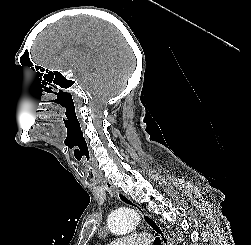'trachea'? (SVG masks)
<instances>
[{"mask_svg": "<svg viewBox=\"0 0 251 245\" xmlns=\"http://www.w3.org/2000/svg\"><path fill=\"white\" fill-rule=\"evenodd\" d=\"M154 245H161V240H160V238H155V240H154Z\"/></svg>", "mask_w": 251, "mask_h": 245, "instance_id": "3493384b", "label": "trachea"}]
</instances>
